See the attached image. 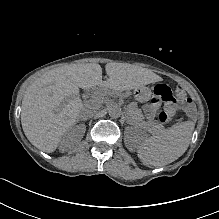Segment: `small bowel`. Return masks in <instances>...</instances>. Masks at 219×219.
<instances>
[{
  "instance_id": "obj_1",
  "label": "small bowel",
  "mask_w": 219,
  "mask_h": 219,
  "mask_svg": "<svg viewBox=\"0 0 219 219\" xmlns=\"http://www.w3.org/2000/svg\"><path fill=\"white\" fill-rule=\"evenodd\" d=\"M172 99V93L167 85H157L154 92L152 101L146 106L145 114L149 119L154 118L158 108L162 102H167ZM180 108L189 115L195 112V107L190 100L180 102Z\"/></svg>"
}]
</instances>
